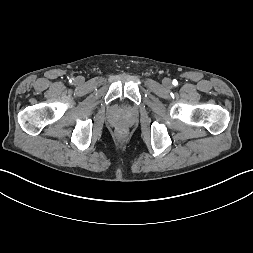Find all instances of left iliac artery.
Returning a JSON list of instances; mask_svg holds the SVG:
<instances>
[{
    "label": "left iliac artery",
    "mask_w": 253,
    "mask_h": 253,
    "mask_svg": "<svg viewBox=\"0 0 253 253\" xmlns=\"http://www.w3.org/2000/svg\"><path fill=\"white\" fill-rule=\"evenodd\" d=\"M177 80H173V85H177Z\"/></svg>",
    "instance_id": "obj_1"
}]
</instances>
